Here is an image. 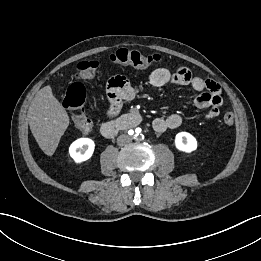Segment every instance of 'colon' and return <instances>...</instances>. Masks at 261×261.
<instances>
[{
    "label": "colon",
    "instance_id": "5ec220e1",
    "mask_svg": "<svg viewBox=\"0 0 261 261\" xmlns=\"http://www.w3.org/2000/svg\"><path fill=\"white\" fill-rule=\"evenodd\" d=\"M112 62L120 65H129L138 68H146L161 60L158 54H143L135 50L119 49L111 54ZM98 68V62L95 60L81 61L76 66V77L80 80L91 79ZM86 99V90L82 83L75 82L71 84L65 94L64 104L67 108L74 111L73 120L75 126L82 133H88L92 128V122L84 113V103ZM223 123L231 126L234 123V115L227 111L223 115Z\"/></svg>",
    "mask_w": 261,
    "mask_h": 261
}]
</instances>
